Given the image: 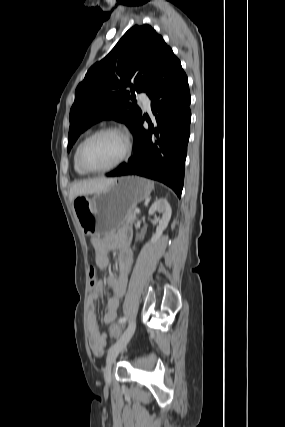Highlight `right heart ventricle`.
<instances>
[{
	"label": "right heart ventricle",
	"instance_id": "right-heart-ventricle-1",
	"mask_svg": "<svg viewBox=\"0 0 285 427\" xmlns=\"http://www.w3.org/2000/svg\"><path fill=\"white\" fill-rule=\"evenodd\" d=\"M88 135H86L76 146L75 151H74V155H73V165H74V169L75 171L80 174V175H86L87 173L82 170L78 164V159H77V155H78V149L80 144L82 143V141L87 137Z\"/></svg>",
	"mask_w": 285,
	"mask_h": 427
}]
</instances>
